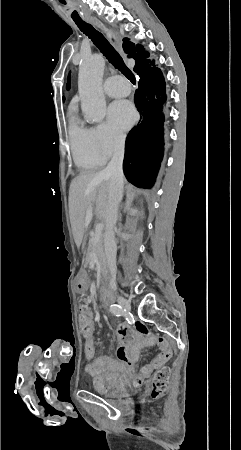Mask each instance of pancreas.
I'll list each match as a JSON object with an SVG mask.
<instances>
[{"label":"pancreas","instance_id":"obj_1","mask_svg":"<svg viewBox=\"0 0 241 450\" xmlns=\"http://www.w3.org/2000/svg\"><path fill=\"white\" fill-rule=\"evenodd\" d=\"M94 238V236H93ZM91 252H94L96 254L97 262L101 268V272L103 274V280L104 282H108L107 278V270H106V262H105V256L103 252V240L102 238H99V240H91L88 248V254H91ZM88 264V262H87Z\"/></svg>","mask_w":241,"mask_h":450}]
</instances>
